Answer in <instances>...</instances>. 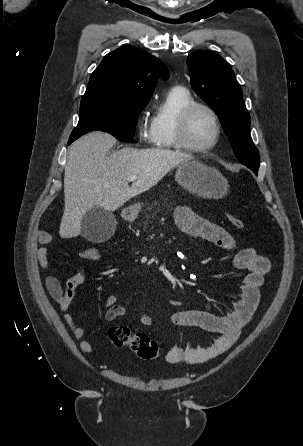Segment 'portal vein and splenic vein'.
Returning a JSON list of instances; mask_svg holds the SVG:
<instances>
[{
	"label": "portal vein and splenic vein",
	"mask_w": 303,
	"mask_h": 446,
	"mask_svg": "<svg viewBox=\"0 0 303 446\" xmlns=\"http://www.w3.org/2000/svg\"><path fill=\"white\" fill-rule=\"evenodd\" d=\"M128 181H136L137 180V176L133 175V176H129L127 178Z\"/></svg>",
	"instance_id": "18ae733b"
}]
</instances>
